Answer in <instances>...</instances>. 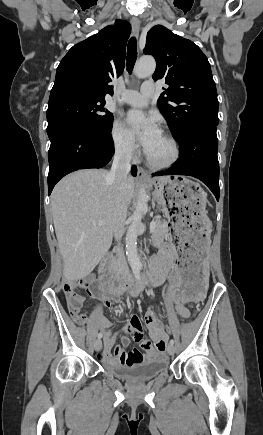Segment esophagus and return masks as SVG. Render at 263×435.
<instances>
[{"label": "esophagus", "instance_id": "1", "mask_svg": "<svg viewBox=\"0 0 263 435\" xmlns=\"http://www.w3.org/2000/svg\"><path fill=\"white\" fill-rule=\"evenodd\" d=\"M131 23H132V29H133L134 35L136 37H138L139 31H140V21L137 18H133ZM137 176H138V178L143 179V180L148 179V173L142 167H138Z\"/></svg>", "mask_w": 263, "mask_h": 435}]
</instances>
